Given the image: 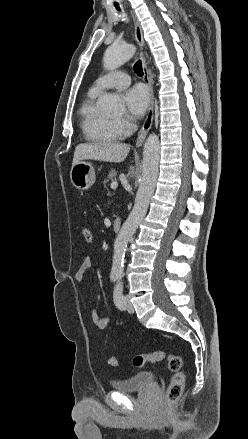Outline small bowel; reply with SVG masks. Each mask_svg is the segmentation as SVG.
I'll return each instance as SVG.
<instances>
[{"label":"small bowel","mask_w":248,"mask_h":439,"mask_svg":"<svg viewBox=\"0 0 248 439\" xmlns=\"http://www.w3.org/2000/svg\"><path fill=\"white\" fill-rule=\"evenodd\" d=\"M91 266H92L91 258L85 257L83 259L79 269L77 270V272L75 274V280L79 283H82L84 281L86 272L91 268ZM99 307H100V297L97 296V298L95 299V301L93 303L91 317H92L93 324L98 329H105L109 325L110 320H109V318L103 317L100 315Z\"/></svg>","instance_id":"1"}]
</instances>
